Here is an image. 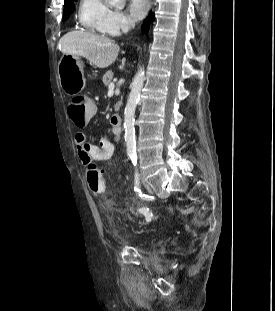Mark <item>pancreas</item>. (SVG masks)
I'll return each instance as SVG.
<instances>
[{
	"label": "pancreas",
	"mask_w": 275,
	"mask_h": 311,
	"mask_svg": "<svg viewBox=\"0 0 275 311\" xmlns=\"http://www.w3.org/2000/svg\"><path fill=\"white\" fill-rule=\"evenodd\" d=\"M113 75L114 73L110 70V71H107L104 75H103V78H102V81L104 83L105 86H108L112 79H113Z\"/></svg>",
	"instance_id": "1"
}]
</instances>
